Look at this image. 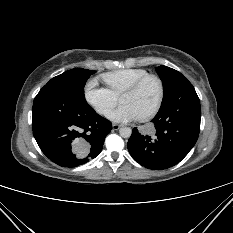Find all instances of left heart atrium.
Listing matches in <instances>:
<instances>
[{
  "instance_id": "39dd6f15",
  "label": "left heart atrium",
  "mask_w": 233,
  "mask_h": 233,
  "mask_svg": "<svg viewBox=\"0 0 233 233\" xmlns=\"http://www.w3.org/2000/svg\"><path fill=\"white\" fill-rule=\"evenodd\" d=\"M109 118L116 122H129L139 119L136 110L129 104H121L109 113Z\"/></svg>"
}]
</instances>
